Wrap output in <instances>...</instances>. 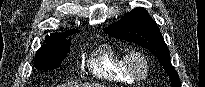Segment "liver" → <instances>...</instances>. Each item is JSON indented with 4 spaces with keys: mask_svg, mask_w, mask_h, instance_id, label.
Instances as JSON below:
<instances>
[{
    "mask_svg": "<svg viewBox=\"0 0 205 87\" xmlns=\"http://www.w3.org/2000/svg\"><path fill=\"white\" fill-rule=\"evenodd\" d=\"M77 87H103L100 84H83L81 86H77Z\"/></svg>",
    "mask_w": 205,
    "mask_h": 87,
    "instance_id": "6515ba94",
    "label": "liver"
}]
</instances>
